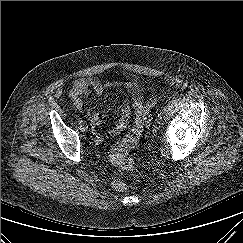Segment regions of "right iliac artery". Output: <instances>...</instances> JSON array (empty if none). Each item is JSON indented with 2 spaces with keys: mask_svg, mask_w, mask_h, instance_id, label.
I'll list each match as a JSON object with an SVG mask.
<instances>
[{
  "mask_svg": "<svg viewBox=\"0 0 243 243\" xmlns=\"http://www.w3.org/2000/svg\"><path fill=\"white\" fill-rule=\"evenodd\" d=\"M77 121H78L79 123H82V122H83L81 118H78Z\"/></svg>",
  "mask_w": 243,
  "mask_h": 243,
  "instance_id": "82829eb1",
  "label": "right iliac artery"
}]
</instances>
